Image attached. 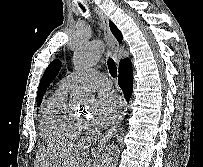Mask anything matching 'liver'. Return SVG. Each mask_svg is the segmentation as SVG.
I'll return each instance as SVG.
<instances>
[{
    "instance_id": "liver-1",
    "label": "liver",
    "mask_w": 203,
    "mask_h": 167,
    "mask_svg": "<svg viewBox=\"0 0 203 167\" xmlns=\"http://www.w3.org/2000/svg\"><path fill=\"white\" fill-rule=\"evenodd\" d=\"M89 148L84 144H64L40 150L35 167H91Z\"/></svg>"
}]
</instances>
